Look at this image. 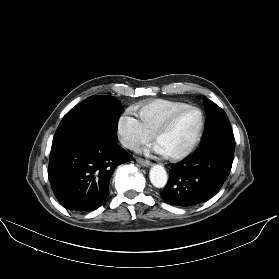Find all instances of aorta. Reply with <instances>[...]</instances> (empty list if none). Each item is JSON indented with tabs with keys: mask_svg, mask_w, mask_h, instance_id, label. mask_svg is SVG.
I'll return each mask as SVG.
<instances>
[{
	"mask_svg": "<svg viewBox=\"0 0 279 279\" xmlns=\"http://www.w3.org/2000/svg\"><path fill=\"white\" fill-rule=\"evenodd\" d=\"M149 178L153 186L163 188L168 180L167 172L161 165H153L150 169Z\"/></svg>",
	"mask_w": 279,
	"mask_h": 279,
	"instance_id": "aorta-1",
	"label": "aorta"
}]
</instances>
